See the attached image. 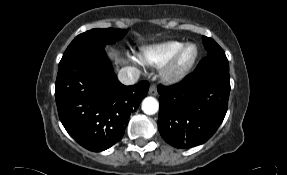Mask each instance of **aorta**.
Masks as SVG:
<instances>
[{
    "instance_id": "762f6f07",
    "label": "aorta",
    "mask_w": 287,
    "mask_h": 175,
    "mask_svg": "<svg viewBox=\"0 0 287 175\" xmlns=\"http://www.w3.org/2000/svg\"><path fill=\"white\" fill-rule=\"evenodd\" d=\"M159 109V103L154 97H146L142 102V110L147 115L155 114Z\"/></svg>"
}]
</instances>
